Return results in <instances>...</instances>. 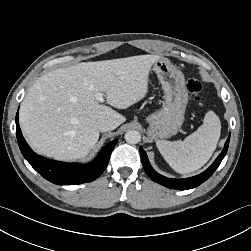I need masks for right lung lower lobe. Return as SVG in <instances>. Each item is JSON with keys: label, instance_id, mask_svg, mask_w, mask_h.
I'll list each match as a JSON object with an SVG mask.
<instances>
[{"label": "right lung lower lobe", "instance_id": "98d812e1", "mask_svg": "<svg viewBox=\"0 0 251 251\" xmlns=\"http://www.w3.org/2000/svg\"><path fill=\"white\" fill-rule=\"evenodd\" d=\"M16 135L21 153L30 165L45 179L59 185L81 184L98 178L104 172L111 152L117 144V140L108 143L98 156L88 164L64 163L39 156L29 147L19 127L18 112L16 115Z\"/></svg>", "mask_w": 251, "mask_h": 251}]
</instances>
